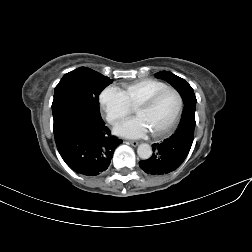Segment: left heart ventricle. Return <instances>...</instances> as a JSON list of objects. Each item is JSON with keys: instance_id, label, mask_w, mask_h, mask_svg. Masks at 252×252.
I'll list each match as a JSON object with an SVG mask.
<instances>
[{"instance_id": "b2bd125f", "label": "left heart ventricle", "mask_w": 252, "mask_h": 252, "mask_svg": "<svg viewBox=\"0 0 252 252\" xmlns=\"http://www.w3.org/2000/svg\"><path fill=\"white\" fill-rule=\"evenodd\" d=\"M177 105L176 94L169 91L160 95L150 106L136 109L135 114L144 121L150 132L157 131L169 123Z\"/></svg>"}]
</instances>
